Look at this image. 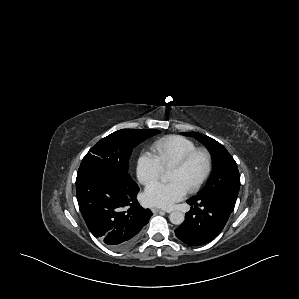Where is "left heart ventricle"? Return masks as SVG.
<instances>
[{
	"label": "left heart ventricle",
	"mask_w": 299,
	"mask_h": 299,
	"mask_svg": "<svg viewBox=\"0 0 299 299\" xmlns=\"http://www.w3.org/2000/svg\"><path fill=\"white\" fill-rule=\"evenodd\" d=\"M205 158L203 155H197L190 164L183 170H170L169 181H178L186 189L194 185L205 170Z\"/></svg>",
	"instance_id": "obj_1"
}]
</instances>
